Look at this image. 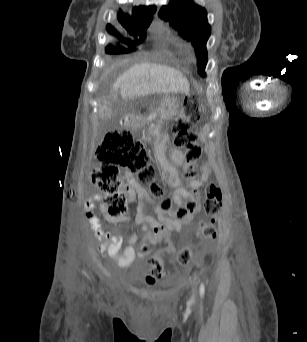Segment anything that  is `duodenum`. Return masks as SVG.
<instances>
[{
  "label": "duodenum",
  "mask_w": 307,
  "mask_h": 342,
  "mask_svg": "<svg viewBox=\"0 0 307 342\" xmlns=\"http://www.w3.org/2000/svg\"><path fill=\"white\" fill-rule=\"evenodd\" d=\"M121 122L128 127L130 124H132L133 119L132 117H122Z\"/></svg>",
  "instance_id": "duodenum-1"
}]
</instances>
